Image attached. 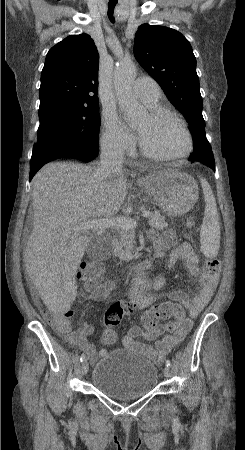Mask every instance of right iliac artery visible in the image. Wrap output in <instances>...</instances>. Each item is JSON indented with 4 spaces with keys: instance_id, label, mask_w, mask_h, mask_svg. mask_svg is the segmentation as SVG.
Wrapping results in <instances>:
<instances>
[{
    "instance_id": "obj_1",
    "label": "right iliac artery",
    "mask_w": 245,
    "mask_h": 450,
    "mask_svg": "<svg viewBox=\"0 0 245 450\" xmlns=\"http://www.w3.org/2000/svg\"><path fill=\"white\" fill-rule=\"evenodd\" d=\"M84 360H85V355L82 354L81 357H80V361L83 362Z\"/></svg>"
}]
</instances>
